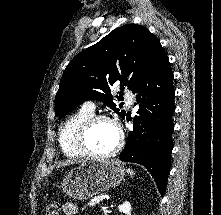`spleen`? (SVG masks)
<instances>
[{
	"label": "spleen",
	"mask_w": 221,
	"mask_h": 215,
	"mask_svg": "<svg viewBox=\"0 0 221 215\" xmlns=\"http://www.w3.org/2000/svg\"><path fill=\"white\" fill-rule=\"evenodd\" d=\"M127 172L130 174V176L134 174V172L131 169H128Z\"/></svg>",
	"instance_id": "3e777b00"
}]
</instances>
